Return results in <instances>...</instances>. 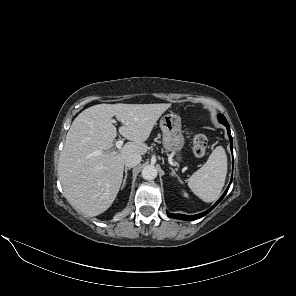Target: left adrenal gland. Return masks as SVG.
Instances as JSON below:
<instances>
[{
  "label": "left adrenal gland",
  "mask_w": 296,
  "mask_h": 296,
  "mask_svg": "<svg viewBox=\"0 0 296 296\" xmlns=\"http://www.w3.org/2000/svg\"><path fill=\"white\" fill-rule=\"evenodd\" d=\"M170 169L172 170L171 175L176 177L179 181H181L180 177L177 175V173L175 172V170L173 168L170 167Z\"/></svg>",
  "instance_id": "left-adrenal-gland-1"
}]
</instances>
